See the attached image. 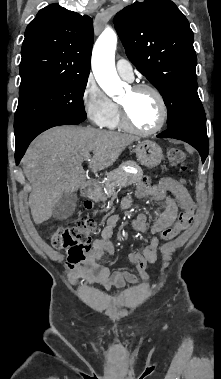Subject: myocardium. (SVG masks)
<instances>
[{
    "mask_svg": "<svg viewBox=\"0 0 221 379\" xmlns=\"http://www.w3.org/2000/svg\"><path fill=\"white\" fill-rule=\"evenodd\" d=\"M131 90L134 93L143 92V91L151 92L155 96L158 102L159 118L155 126H153L152 128L140 129L131 122L126 107L120 103L119 114H120V122H121L122 127L132 133L143 135V136L153 135L159 132L165 125L167 121V116H168L167 105H166V101L163 94L160 92L159 89H157L155 86L150 85V84H137V85H134L131 88Z\"/></svg>",
    "mask_w": 221,
    "mask_h": 379,
    "instance_id": "1",
    "label": "myocardium"
}]
</instances>
